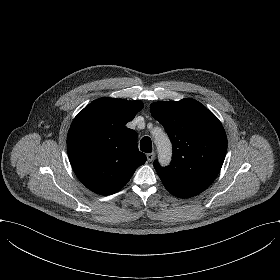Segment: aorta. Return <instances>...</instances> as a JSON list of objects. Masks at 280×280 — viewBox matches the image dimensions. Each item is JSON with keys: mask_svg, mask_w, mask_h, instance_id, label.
Returning <instances> with one entry per match:
<instances>
[{"mask_svg": "<svg viewBox=\"0 0 280 280\" xmlns=\"http://www.w3.org/2000/svg\"><path fill=\"white\" fill-rule=\"evenodd\" d=\"M155 145L158 151V160L162 166L170 163L172 157V145L169 138L162 134L155 138Z\"/></svg>", "mask_w": 280, "mask_h": 280, "instance_id": "762f6f07", "label": "aorta"}]
</instances>
